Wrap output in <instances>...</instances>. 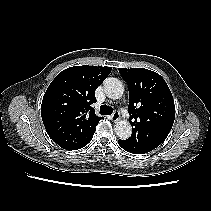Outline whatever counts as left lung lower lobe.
<instances>
[{"mask_svg": "<svg viewBox=\"0 0 211 211\" xmlns=\"http://www.w3.org/2000/svg\"><path fill=\"white\" fill-rule=\"evenodd\" d=\"M119 145L126 151L133 153V154H144L147 152H150L152 150L146 148V147H133L129 143H127L125 140H119Z\"/></svg>", "mask_w": 211, "mask_h": 211, "instance_id": "0a47b994", "label": "left lung lower lobe"}]
</instances>
